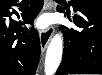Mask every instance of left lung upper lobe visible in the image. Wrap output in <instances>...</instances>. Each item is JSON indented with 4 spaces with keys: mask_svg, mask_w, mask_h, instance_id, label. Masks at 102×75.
I'll return each instance as SVG.
<instances>
[{
    "mask_svg": "<svg viewBox=\"0 0 102 75\" xmlns=\"http://www.w3.org/2000/svg\"><path fill=\"white\" fill-rule=\"evenodd\" d=\"M73 5V9L81 10V9H95L102 10V0H71Z\"/></svg>",
    "mask_w": 102,
    "mask_h": 75,
    "instance_id": "left-lung-upper-lobe-1",
    "label": "left lung upper lobe"
}]
</instances>
